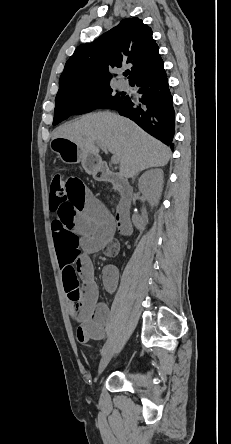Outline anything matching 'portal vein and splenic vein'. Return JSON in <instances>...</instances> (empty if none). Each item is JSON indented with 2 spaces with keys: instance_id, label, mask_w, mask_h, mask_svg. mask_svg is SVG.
<instances>
[{
  "instance_id": "obj_1",
  "label": "portal vein and splenic vein",
  "mask_w": 231,
  "mask_h": 444,
  "mask_svg": "<svg viewBox=\"0 0 231 444\" xmlns=\"http://www.w3.org/2000/svg\"><path fill=\"white\" fill-rule=\"evenodd\" d=\"M96 144L104 151V152H107V147L103 144V143H100V142H96ZM111 162L114 164V165H116V164H118L119 163V158L116 156V155H113L112 157H111Z\"/></svg>"
}]
</instances>
